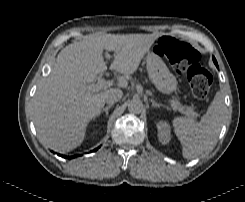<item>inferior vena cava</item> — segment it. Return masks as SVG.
Returning <instances> with one entry per match:
<instances>
[{
	"instance_id": "602c4592",
	"label": "inferior vena cava",
	"mask_w": 245,
	"mask_h": 202,
	"mask_svg": "<svg viewBox=\"0 0 245 202\" xmlns=\"http://www.w3.org/2000/svg\"><path fill=\"white\" fill-rule=\"evenodd\" d=\"M123 95L122 90L120 89H111L107 92L105 101L108 104H114L115 102L119 101Z\"/></svg>"
}]
</instances>
